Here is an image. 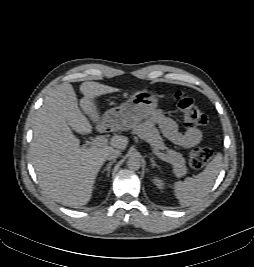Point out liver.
<instances>
[{"label":"liver","instance_id":"liver-1","mask_svg":"<svg viewBox=\"0 0 254 267\" xmlns=\"http://www.w3.org/2000/svg\"><path fill=\"white\" fill-rule=\"evenodd\" d=\"M118 91L98 82H83L79 107L72 85L63 83L49 92L37 111L29 157L42 189L56 202L75 208L86 205L107 153L126 149L128 138L123 136H113L109 145L80 147L72 133V129L80 134L92 132L86 115L98 126L106 125L100 121L95 98Z\"/></svg>","mask_w":254,"mask_h":267}]
</instances>
